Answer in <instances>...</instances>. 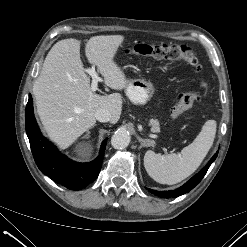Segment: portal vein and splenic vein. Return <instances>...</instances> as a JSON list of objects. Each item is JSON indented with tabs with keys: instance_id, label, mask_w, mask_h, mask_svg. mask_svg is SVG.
<instances>
[{
	"instance_id": "obj_1",
	"label": "portal vein and splenic vein",
	"mask_w": 247,
	"mask_h": 247,
	"mask_svg": "<svg viewBox=\"0 0 247 247\" xmlns=\"http://www.w3.org/2000/svg\"><path fill=\"white\" fill-rule=\"evenodd\" d=\"M87 72L92 77L91 90L95 92L97 90L98 82L102 81V79L98 77L94 68L87 69Z\"/></svg>"
}]
</instances>
